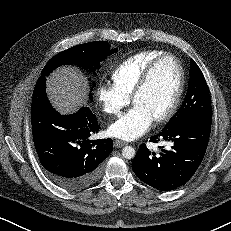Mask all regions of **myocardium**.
<instances>
[{
  "mask_svg": "<svg viewBox=\"0 0 231 231\" xmlns=\"http://www.w3.org/2000/svg\"><path fill=\"white\" fill-rule=\"evenodd\" d=\"M167 58L173 59L176 62L177 66H178V70H179V82H178V87H177L176 93L174 95V98H173L170 106L168 107V109L164 113H162L160 116L155 118V121L157 123L166 121L169 118H171L172 115L175 113V111H176V109L180 103V100L182 98L184 88H185V70H184L183 64L180 61V59L171 53H163V54L157 56L156 58H154L152 61H150V63L144 69V71H143V73H142V75H141L132 95H131V101H132V103H134L137 96L147 86L156 65L159 62H161L162 60L167 59Z\"/></svg>",
  "mask_w": 231,
  "mask_h": 231,
  "instance_id": "myocardium-1",
  "label": "myocardium"
}]
</instances>
